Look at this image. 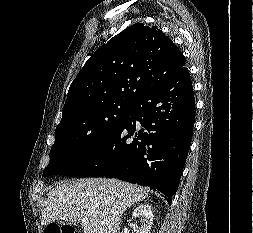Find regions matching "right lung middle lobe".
Wrapping results in <instances>:
<instances>
[{"mask_svg":"<svg viewBox=\"0 0 253 233\" xmlns=\"http://www.w3.org/2000/svg\"><path fill=\"white\" fill-rule=\"evenodd\" d=\"M134 101L111 99L62 117L44 177L58 174L101 147L128 118Z\"/></svg>","mask_w":253,"mask_h":233,"instance_id":"dd1d6c3e","label":"right lung middle lobe"}]
</instances>
